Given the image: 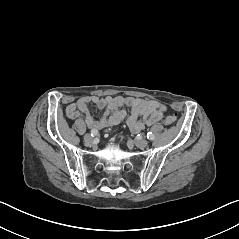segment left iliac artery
<instances>
[{"instance_id":"obj_1","label":"left iliac artery","mask_w":239,"mask_h":239,"mask_svg":"<svg viewBox=\"0 0 239 239\" xmlns=\"http://www.w3.org/2000/svg\"><path fill=\"white\" fill-rule=\"evenodd\" d=\"M147 138H148L149 140H154V139H155V135H154L152 132H148V133H147Z\"/></svg>"}]
</instances>
